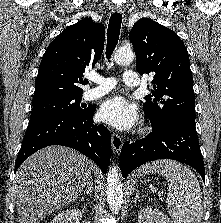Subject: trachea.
I'll use <instances>...</instances> for the list:
<instances>
[{
	"label": "trachea",
	"mask_w": 221,
	"mask_h": 223,
	"mask_svg": "<svg viewBox=\"0 0 221 223\" xmlns=\"http://www.w3.org/2000/svg\"><path fill=\"white\" fill-rule=\"evenodd\" d=\"M121 23H122V15L120 13H114L111 15L107 31V47H106V57L109 62L112 53L118 43Z\"/></svg>",
	"instance_id": "3493384b"
}]
</instances>
